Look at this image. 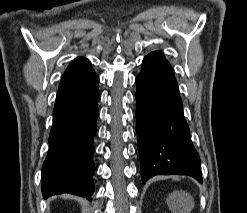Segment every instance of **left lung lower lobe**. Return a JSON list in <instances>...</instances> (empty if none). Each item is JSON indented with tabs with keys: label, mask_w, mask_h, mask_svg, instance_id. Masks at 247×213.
<instances>
[{
	"label": "left lung lower lobe",
	"mask_w": 247,
	"mask_h": 213,
	"mask_svg": "<svg viewBox=\"0 0 247 213\" xmlns=\"http://www.w3.org/2000/svg\"><path fill=\"white\" fill-rule=\"evenodd\" d=\"M136 133L143 183L155 175H189L202 183L201 162L183 115L174 71L160 51L136 78Z\"/></svg>",
	"instance_id": "left-lung-lower-lobe-1"
}]
</instances>
